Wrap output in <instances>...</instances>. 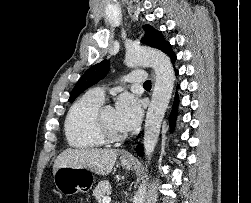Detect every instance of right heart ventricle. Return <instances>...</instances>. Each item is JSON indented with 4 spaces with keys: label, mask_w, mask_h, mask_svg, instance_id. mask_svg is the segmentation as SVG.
Listing matches in <instances>:
<instances>
[{
    "label": "right heart ventricle",
    "mask_w": 251,
    "mask_h": 203,
    "mask_svg": "<svg viewBox=\"0 0 251 203\" xmlns=\"http://www.w3.org/2000/svg\"><path fill=\"white\" fill-rule=\"evenodd\" d=\"M102 103L103 100L87 92L71 105L64 123L66 139L71 147L89 150L105 144L96 127V115Z\"/></svg>",
    "instance_id": "obj_1"
}]
</instances>
